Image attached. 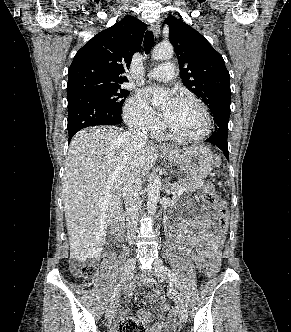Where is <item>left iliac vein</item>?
Returning <instances> with one entry per match:
<instances>
[{"instance_id":"4c4485c4","label":"left iliac vein","mask_w":291,"mask_h":332,"mask_svg":"<svg viewBox=\"0 0 291 332\" xmlns=\"http://www.w3.org/2000/svg\"><path fill=\"white\" fill-rule=\"evenodd\" d=\"M153 273L156 277L167 280L166 273L163 270V263L160 259H157L155 261ZM168 283H169L170 291L172 294V298L174 299V301L176 303L179 318L182 322H186L188 315H187V311H186L184 302H183L182 298L180 297L177 289L172 285V283L169 281H168Z\"/></svg>"}]
</instances>
